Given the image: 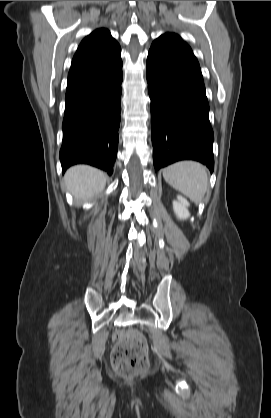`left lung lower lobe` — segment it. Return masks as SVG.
<instances>
[{
	"label": "left lung lower lobe",
	"instance_id": "1",
	"mask_svg": "<svg viewBox=\"0 0 271 418\" xmlns=\"http://www.w3.org/2000/svg\"><path fill=\"white\" fill-rule=\"evenodd\" d=\"M151 98V137L155 170L192 159L214 169L213 130L199 63L184 45L156 39L146 70Z\"/></svg>",
	"mask_w": 271,
	"mask_h": 418
}]
</instances>
